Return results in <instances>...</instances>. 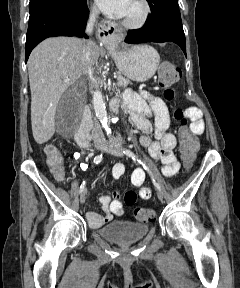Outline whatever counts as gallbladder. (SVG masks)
Returning <instances> with one entry per match:
<instances>
[{"mask_svg":"<svg viewBox=\"0 0 240 288\" xmlns=\"http://www.w3.org/2000/svg\"><path fill=\"white\" fill-rule=\"evenodd\" d=\"M77 110V105L72 101L69 94H64L59 101L56 111L57 121L71 117Z\"/></svg>","mask_w":240,"mask_h":288,"instance_id":"1","label":"gallbladder"}]
</instances>
